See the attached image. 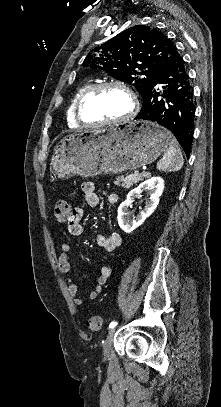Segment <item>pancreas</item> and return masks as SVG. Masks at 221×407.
Returning a JSON list of instances; mask_svg holds the SVG:
<instances>
[{"label":"pancreas","mask_w":221,"mask_h":407,"mask_svg":"<svg viewBox=\"0 0 221 407\" xmlns=\"http://www.w3.org/2000/svg\"><path fill=\"white\" fill-rule=\"evenodd\" d=\"M148 174H127L126 176H119L114 181L115 185L130 188L132 185L138 183L139 181L143 180L144 177H147Z\"/></svg>","instance_id":"pancreas-1"}]
</instances>
